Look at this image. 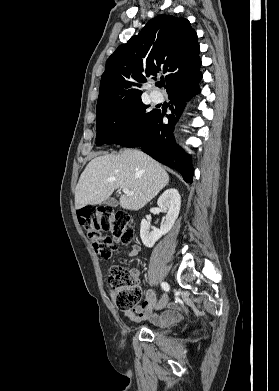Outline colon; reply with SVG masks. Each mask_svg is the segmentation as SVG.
<instances>
[{
    "label": "colon",
    "mask_w": 279,
    "mask_h": 391,
    "mask_svg": "<svg viewBox=\"0 0 279 391\" xmlns=\"http://www.w3.org/2000/svg\"><path fill=\"white\" fill-rule=\"evenodd\" d=\"M78 220L96 254L104 260L111 259L116 249L115 243H130L135 238L133 219L125 211H114L111 207H85L79 210ZM107 232L111 235H105ZM108 280L119 309L130 311L139 304L141 288L134 275L124 266H113Z\"/></svg>",
    "instance_id": "colon-1"
}]
</instances>
